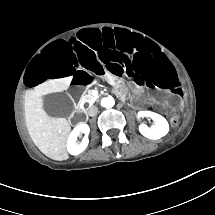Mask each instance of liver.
<instances>
[{"instance_id": "liver-1", "label": "liver", "mask_w": 215, "mask_h": 215, "mask_svg": "<svg viewBox=\"0 0 215 215\" xmlns=\"http://www.w3.org/2000/svg\"><path fill=\"white\" fill-rule=\"evenodd\" d=\"M72 77L50 80L24 96V113L28 133L38 149L54 160L68 159L66 143L71 127L65 118L49 117L42 109L40 96L67 89Z\"/></svg>"}]
</instances>
